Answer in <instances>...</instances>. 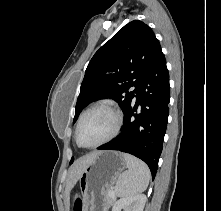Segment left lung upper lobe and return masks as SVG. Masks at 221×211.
<instances>
[{"mask_svg":"<svg viewBox=\"0 0 221 211\" xmlns=\"http://www.w3.org/2000/svg\"><path fill=\"white\" fill-rule=\"evenodd\" d=\"M160 50L159 41L145 23L134 20L121 28L90 60L73 122L84 107L101 98H112L125 112ZM131 87L135 89L129 91Z\"/></svg>","mask_w":221,"mask_h":211,"instance_id":"1","label":"left lung upper lobe"}]
</instances>
